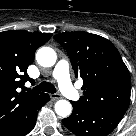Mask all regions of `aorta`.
Returning a JSON list of instances; mask_svg holds the SVG:
<instances>
[{
    "label": "aorta",
    "mask_w": 136,
    "mask_h": 136,
    "mask_svg": "<svg viewBox=\"0 0 136 136\" xmlns=\"http://www.w3.org/2000/svg\"><path fill=\"white\" fill-rule=\"evenodd\" d=\"M36 60L43 67H51L56 63V52L50 47H41L36 53ZM55 112L61 117H67L72 112V106L67 100H59L55 103Z\"/></svg>",
    "instance_id": "obj_1"
}]
</instances>
